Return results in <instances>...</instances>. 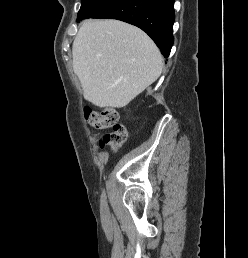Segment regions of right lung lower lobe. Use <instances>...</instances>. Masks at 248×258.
<instances>
[{
	"mask_svg": "<svg viewBox=\"0 0 248 258\" xmlns=\"http://www.w3.org/2000/svg\"><path fill=\"white\" fill-rule=\"evenodd\" d=\"M92 18H112L135 25L156 43L165 58L174 37V0H115Z\"/></svg>",
	"mask_w": 248,
	"mask_h": 258,
	"instance_id": "98d812e1",
	"label": "right lung lower lobe"
}]
</instances>
